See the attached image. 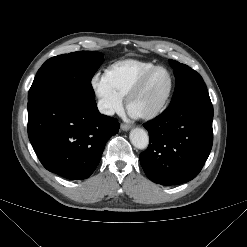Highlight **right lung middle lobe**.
Listing matches in <instances>:
<instances>
[{
	"instance_id": "dd1d6c3e",
	"label": "right lung middle lobe",
	"mask_w": 247,
	"mask_h": 247,
	"mask_svg": "<svg viewBox=\"0 0 247 247\" xmlns=\"http://www.w3.org/2000/svg\"><path fill=\"white\" fill-rule=\"evenodd\" d=\"M103 61V54L93 51H78L48 59L38 70L28 99L47 92L61 91L80 98L94 99L91 79Z\"/></svg>"
}]
</instances>
